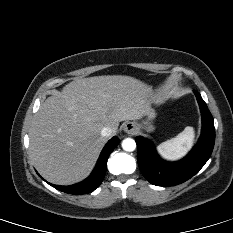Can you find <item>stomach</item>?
<instances>
[{
    "mask_svg": "<svg viewBox=\"0 0 233 233\" xmlns=\"http://www.w3.org/2000/svg\"><path fill=\"white\" fill-rule=\"evenodd\" d=\"M147 116V120L143 122V124H138L135 123L138 129L143 128V126H145L147 131H152L154 129V127L151 124V121L155 118L156 113L152 108H149V110L146 113Z\"/></svg>",
    "mask_w": 233,
    "mask_h": 233,
    "instance_id": "obj_1",
    "label": "stomach"
}]
</instances>
